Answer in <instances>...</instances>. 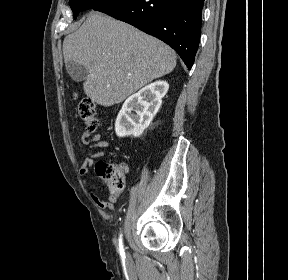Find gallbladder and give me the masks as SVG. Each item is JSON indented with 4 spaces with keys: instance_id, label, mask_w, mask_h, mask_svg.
Masks as SVG:
<instances>
[{
    "instance_id": "bac80fb5",
    "label": "gallbladder",
    "mask_w": 288,
    "mask_h": 280,
    "mask_svg": "<svg viewBox=\"0 0 288 280\" xmlns=\"http://www.w3.org/2000/svg\"><path fill=\"white\" fill-rule=\"evenodd\" d=\"M66 70L74 81L80 82L85 77L86 69L81 64L69 62L66 64Z\"/></svg>"
}]
</instances>
